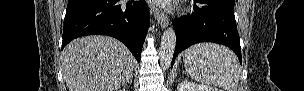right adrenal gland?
<instances>
[{
	"label": "right adrenal gland",
	"instance_id": "2a0ac1e0",
	"mask_svg": "<svg viewBox=\"0 0 304 91\" xmlns=\"http://www.w3.org/2000/svg\"><path fill=\"white\" fill-rule=\"evenodd\" d=\"M128 83H129V84H131V83H132V78H130V80L128 81Z\"/></svg>",
	"mask_w": 304,
	"mask_h": 91
}]
</instances>
